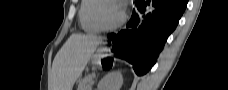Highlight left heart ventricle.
Instances as JSON below:
<instances>
[{
  "instance_id": "b2bd125f",
  "label": "left heart ventricle",
  "mask_w": 228,
  "mask_h": 90,
  "mask_svg": "<svg viewBox=\"0 0 228 90\" xmlns=\"http://www.w3.org/2000/svg\"><path fill=\"white\" fill-rule=\"evenodd\" d=\"M121 14L122 9L116 3H104L100 9V17L107 25L117 22Z\"/></svg>"
}]
</instances>
